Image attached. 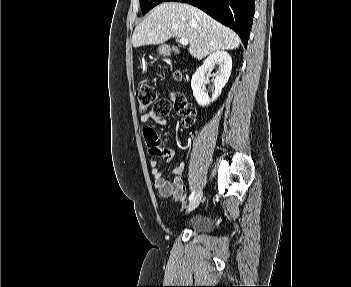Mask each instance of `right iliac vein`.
<instances>
[{"label": "right iliac vein", "mask_w": 351, "mask_h": 287, "mask_svg": "<svg viewBox=\"0 0 351 287\" xmlns=\"http://www.w3.org/2000/svg\"><path fill=\"white\" fill-rule=\"evenodd\" d=\"M202 198V192L199 191L196 196L190 201L188 207H187V212H191L193 211L195 208L198 207V205L200 204Z\"/></svg>", "instance_id": "1"}]
</instances>
